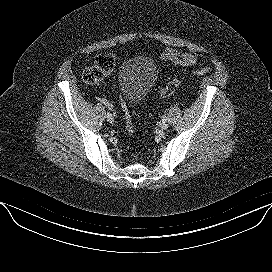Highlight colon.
<instances>
[{
  "instance_id": "obj_1",
  "label": "colon",
  "mask_w": 272,
  "mask_h": 272,
  "mask_svg": "<svg viewBox=\"0 0 272 272\" xmlns=\"http://www.w3.org/2000/svg\"><path fill=\"white\" fill-rule=\"evenodd\" d=\"M117 61L116 54L113 53H102L96 57L94 63L83 70L82 79L85 83L95 85L101 82L103 79L109 77L115 68V64ZM211 71L209 67H202L194 70L192 72L193 75H204ZM182 85V81L178 79H174L166 84L164 88L159 91L161 96H170L173 94L180 86ZM122 112L125 119V130L127 134L132 135L134 133V125L130 117V113L127 105L122 102L121 103Z\"/></svg>"
}]
</instances>
